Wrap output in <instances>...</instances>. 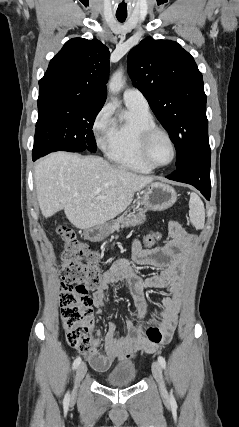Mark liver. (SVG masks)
I'll return each mask as SVG.
<instances>
[{
    "label": "liver",
    "mask_w": 239,
    "mask_h": 427,
    "mask_svg": "<svg viewBox=\"0 0 239 427\" xmlns=\"http://www.w3.org/2000/svg\"><path fill=\"white\" fill-rule=\"evenodd\" d=\"M34 180L42 215L64 209L79 229L105 224L122 213L135 192L153 182L99 156L55 152L35 166Z\"/></svg>",
    "instance_id": "1"
}]
</instances>
